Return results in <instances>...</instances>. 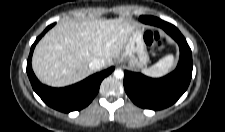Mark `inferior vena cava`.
<instances>
[{"label": "inferior vena cava", "instance_id": "obj_1", "mask_svg": "<svg viewBox=\"0 0 225 132\" xmlns=\"http://www.w3.org/2000/svg\"><path fill=\"white\" fill-rule=\"evenodd\" d=\"M105 65V62L103 59L101 58H94L90 63H89V67L91 70L93 71H98L101 68H103Z\"/></svg>", "mask_w": 225, "mask_h": 132}]
</instances>
